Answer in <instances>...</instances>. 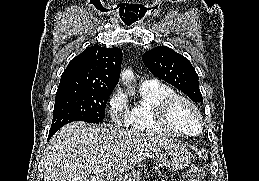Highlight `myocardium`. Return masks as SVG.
Returning a JSON list of instances; mask_svg holds the SVG:
<instances>
[{
	"mask_svg": "<svg viewBox=\"0 0 259 181\" xmlns=\"http://www.w3.org/2000/svg\"><path fill=\"white\" fill-rule=\"evenodd\" d=\"M179 104L188 106L197 118V129L194 132H186L177 127L173 122V113ZM159 122L162 126L181 137H194L199 135L203 129V118L197 106L188 98L175 94L166 98L158 109Z\"/></svg>",
	"mask_w": 259,
	"mask_h": 181,
	"instance_id": "f54148a6",
	"label": "myocardium"
}]
</instances>
